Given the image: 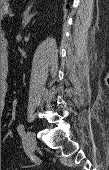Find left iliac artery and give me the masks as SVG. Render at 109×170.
Returning <instances> with one entry per match:
<instances>
[{
	"mask_svg": "<svg viewBox=\"0 0 109 170\" xmlns=\"http://www.w3.org/2000/svg\"><path fill=\"white\" fill-rule=\"evenodd\" d=\"M17 131L19 133V135L24 136L25 134V127L23 124H19L17 127Z\"/></svg>",
	"mask_w": 109,
	"mask_h": 170,
	"instance_id": "1",
	"label": "left iliac artery"
}]
</instances>
